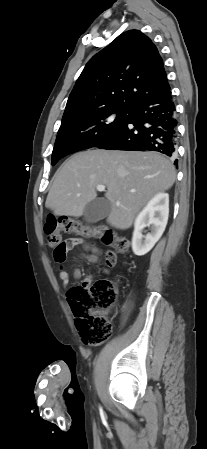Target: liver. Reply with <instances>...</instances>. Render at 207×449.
Returning <instances> with one entry per match:
<instances>
[{
	"mask_svg": "<svg viewBox=\"0 0 207 449\" xmlns=\"http://www.w3.org/2000/svg\"><path fill=\"white\" fill-rule=\"evenodd\" d=\"M175 177L173 164L157 152L87 150L64 162L45 205L56 216L80 217L96 198L97 185H104L111 204L107 223L125 230L154 195L172 187Z\"/></svg>",
	"mask_w": 207,
	"mask_h": 449,
	"instance_id": "6515ba94",
	"label": "liver"
}]
</instances>
